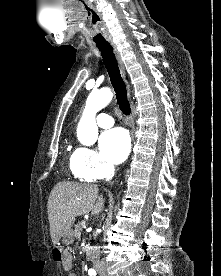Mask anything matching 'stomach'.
Instances as JSON below:
<instances>
[{
    "instance_id": "stomach-1",
    "label": "stomach",
    "mask_w": 221,
    "mask_h": 276,
    "mask_svg": "<svg viewBox=\"0 0 221 276\" xmlns=\"http://www.w3.org/2000/svg\"><path fill=\"white\" fill-rule=\"evenodd\" d=\"M74 242V232L72 230L68 231L62 236V243L65 245H70Z\"/></svg>"
}]
</instances>
